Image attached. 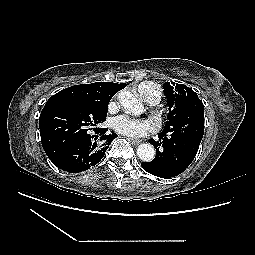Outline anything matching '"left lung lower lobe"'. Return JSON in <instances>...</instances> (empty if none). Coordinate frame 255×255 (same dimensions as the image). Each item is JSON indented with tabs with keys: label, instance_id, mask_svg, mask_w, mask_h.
I'll use <instances>...</instances> for the list:
<instances>
[{
	"label": "left lung lower lobe",
	"instance_id": "left-lung-lower-lobe-1",
	"mask_svg": "<svg viewBox=\"0 0 255 255\" xmlns=\"http://www.w3.org/2000/svg\"><path fill=\"white\" fill-rule=\"evenodd\" d=\"M183 124L165 127L158 141L149 140L156 148V157L151 162H142L145 171L160 178H171L191 164L204 134V109L199 110L190 124Z\"/></svg>",
	"mask_w": 255,
	"mask_h": 255
}]
</instances>
